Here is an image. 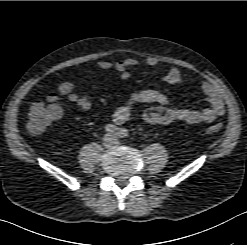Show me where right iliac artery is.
<instances>
[{
    "label": "right iliac artery",
    "mask_w": 247,
    "mask_h": 245,
    "mask_svg": "<svg viewBox=\"0 0 247 245\" xmlns=\"http://www.w3.org/2000/svg\"><path fill=\"white\" fill-rule=\"evenodd\" d=\"M105 130L110 133V134H118L120 129L117 128L116 126L112 125V124H108L105 126Z\"/></svg>",
    "instance_id": "1"
}]
</instances>
